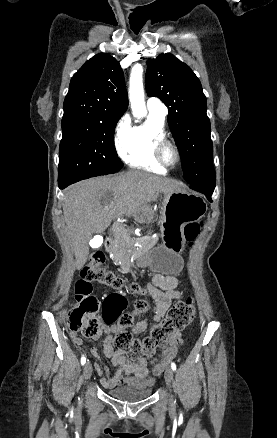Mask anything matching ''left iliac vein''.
<instances>
[{
  "label": "left iliac vein",
  "mask_w": 277,
  "mask_h": 438,
  "mask_svg": "<svg viewBox=\"0 0 277 438\" xmlns=\"http://www.w3.org/2000/svg\"><path fill=\"white\" fill-rule=\"evenodd\" d=\"M173 369L171 368V367H168L167 369H166V371H165V381H166V384H167V386H168V388H169V390L171 391V383H172V380H173ZM170 401H172V396L170 395Z\"/></svg>",
  "instance_id": "1"
}]
</instances>
